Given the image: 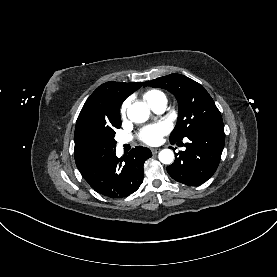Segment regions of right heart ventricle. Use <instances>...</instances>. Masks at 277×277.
<instances>
[{
  "label": "right heart ventricle",
  "instance_id": "obj_1",
  "mask_svg": "<svg viewBox=\"0 0 277 277\" xmlns=\"http://www.w3.org/2000/svg\"><path fill=\"white\" fill-rule=\"evenodd\" d=\"M143 97L150 106L159 100H166L165 95L159 90H149L144 94Z\"/></svg>",
  "mask_w": 277,
  "mask_h": 277
}]
</instances>
